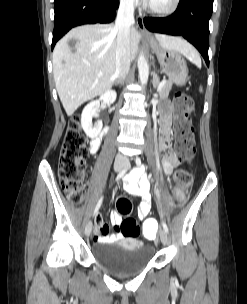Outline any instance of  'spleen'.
Segmentation results:
<instances>
[{
	"instance_id": "obj_1",
	"label": "spleen",
	"mask_w": 247,
	"mask_h": 304,
	"mask_svg": "<svg viewBox=\"0 0 247 304\" xmlns=\"http://www.w3.org/2000/svg\"><path fill=\"white\" fill-rule=\"evenodd\" d=\"M188 59L196 66L201 67V59L199 55L191 54ZM200 92H202V87H200Z\"/></svg>"
}]
</instances>
